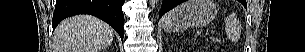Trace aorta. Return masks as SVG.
<instances>
[{"instance_id":"1","label":"aorta","mask_w":305,"mask_h":52,"mask_svg":"<svg viewBox=\"0 0 305 52\" xmlns=\"http://www.w3.org/2000/svg\"><path fill=\"white\" fill-rule=\"evenodd\" d=\"M157 2H158V0H150L149 1L151 6H154Z\"/></svg>"}]
</instances>
